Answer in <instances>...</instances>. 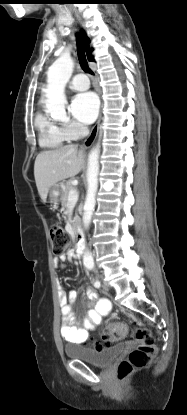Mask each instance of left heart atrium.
Returning <instances> with one entry per match:
<instances>
[{
	"instance_id": "left-heart-atrium-1",
	"label": "left heart atrium",
	"mask_w": 187,
	"mask_h": 415,
	"mask_svg": "<svg viewBox=\"0 0 187 415\" xmlns=\"http://www.w3.org/2000/svg\"><path fill=\"white\" fill-rule=\"evenodd\" d=\"M72 115L84 124L92 123L99 112V99L93 92L76 95L71 103Z\"/></svg>"
}]
</instances>
